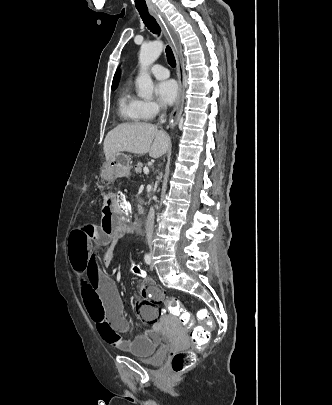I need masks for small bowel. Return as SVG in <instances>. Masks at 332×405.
<instances>
[{
  "instance_id": "obj_1",
  "label": "small bowel",
  "mask_w": 332,
  "mask_h": 405,
  "mask_svg": "<svg viewBox=\"0 0 332 405\" xmlns=\"http://www.w3.org/2000/svg\"><path fill=\"white\" fill-rule=\"evenodd\" d=\"M114 171L104 166L100 176L107 183L115 181ZM116 192L106 189L101 208V222L98 226L80 224L72 228L68 239V257L70 267L77 281V297L83 298L85 315L93 320L100 337L109 345L123 351L136 350V353H153L157 344H166V335L159 332V313L162 297L167 289L156 286L146 279L139 287V302H135V311L144 321L152 324L133 340L122 337L130 329V322L124 314L123 302L116 283L105 275L99 266L98 246H114L129 232L128 225L121 220ZM144 271V270H143Z\"/></svg>"
}]
</instances>
